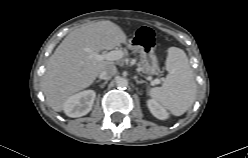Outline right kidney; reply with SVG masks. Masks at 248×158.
Masks as SVG:
<instances>
[{"instance_id":"ca27d5eb","label":"right kidney","mask_w":248,"mask_h":158,"mask_svg":"<svg viewBox=\"0 0 248 158\" xmlns=\"http://www.w3.org/2000/svg\"><path fill=\"white\" fill-rule=\"evenodd\" d=\"M95 97L94 90H85L71 96L64 104L65 114L72 118L88 114L92 109Z\"/></svg>"}]
</instances>
